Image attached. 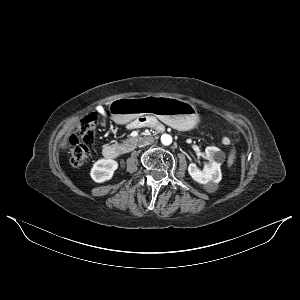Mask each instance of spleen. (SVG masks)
<instances>
[{
  "label": "spleen",
  "instance_id": "1",
  "mask_svg": "<svg viewBox=\"0 0 300 300\" xmlns=\"http://www.w3.org/2000/svg\"><path fill=\"white\" fill-rule=\"evenodd\" d=\"M235 154H236L235 149H233V150L231 151V154L229 155V158H228V166H229V167H230V166L233 164V162H234Z\"/></svg>",
  "mask_w": 300,
  "mask_h": 300
}]
</instances>
